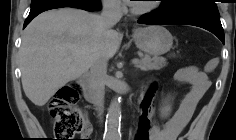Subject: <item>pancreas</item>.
Instances as JSON below:
<instances>
[{
	"instance_id": "cf45deb5",
	"label": "pancreas",
	"mask_w": 236,
	"mask_h": 140,
	"mask_svg": "<svg viewBox=\"0 0 236 140\" xmlns=\"http://www.w3.org/2000/svg\"><path fill=\"white\" fill-rule=\"evenodd\" d=\"M166 64V59L163 57H151L150 55H144L137 64V67L142 70H159L163 68Z\"/></svg>"
}]
</instances>
